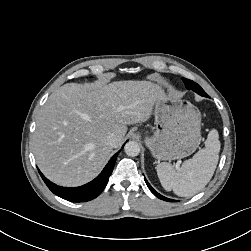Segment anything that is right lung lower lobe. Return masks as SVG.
<instances>
[{
  "instance_id": "1",
  "label": "right lung lower lobe",
  "mask_w": 251,
  "mask_h": 251,
  "mask_svg": "<svg viewBox=\"0 0 251 251\" xmlns=\"http://www.w3.org/2000/svg\"><path fill=\"white\" fill-rule=\"evenodd\" d=\"M123 148V147H122ZM118 151L105 166L103 171L91 182L80 187H61L49 181L38 169L42 179L48 188L57 196L72 202H86L96 198L105 188L113 171Z\"/></svg>"
}]
</instances>
